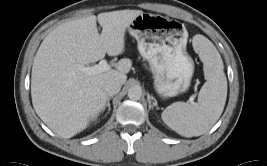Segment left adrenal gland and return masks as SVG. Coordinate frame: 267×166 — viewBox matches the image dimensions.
<instances>
[{"mask_svg":"<svg viewBox=\"0 0 267 166\" xmlns=\"http://www.w3.org/2000/svg\"><path fill=\"white\" fill-rule=\"evenodd\" d=\"M152 97L150 96V94H148V104H149V109L153 108V106H156V103L152 104L151 101Z\"/></svg>","mask_w":267,"mask_h":166,"instance_id":"1","label":"left adrenal gland"}]
</instances>
